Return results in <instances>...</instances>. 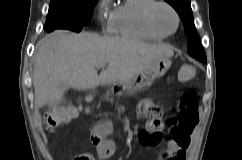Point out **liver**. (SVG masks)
<instances>
[{
    "instance_id": "1",
    "label": "liver",
    "mask_w": 242,
    "mask_h": 160,
    "mask_svg": "<svg viewBox=\"0 0 242 160\" xmlns=\"http://www.w3.org/2000/svg\"><path fill=\"white\" fill-rule=\"evenodd\" d=\"M174 55L169 45L57 30L36 45L33 85L38 107L58 104L70 88L85 90L132 79ZM108 65L98 75L97 66Z\"/></svg>"
}]
</instances>
